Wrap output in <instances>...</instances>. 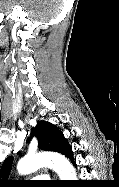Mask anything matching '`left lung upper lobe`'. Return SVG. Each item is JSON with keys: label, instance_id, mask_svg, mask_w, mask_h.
I'll list each match as a JSON object with an SVG mask.
<instances>
[{"label": "left lung upper lobe", "instance_id": "1", "mask_svg": "<svg viewBox=\"0 0 119 187\" xmlns=\"http://www.w3.org/2000/svg\"><path fill=\"white\" fill-rule=\"evenodd\" d=\"M38 140L39 148L46 151H54L67 155L70 145L64 135L53 124L40 121L32 130ZM12 166V157H8L2 164L0 170V187L13 186L15 181L7 180Z\"/></svg>", "mask_w": 119, "mask_h": 187}]
</instances>
